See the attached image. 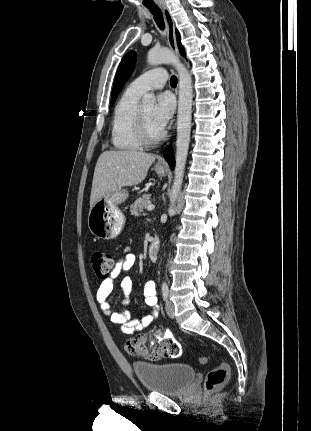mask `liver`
Wrapping results in <instances>:
<instances>
[{"instance_id":"liver-1","label":"liver","mask_w":311,"mask_h":431,"mask_svg":"<svg viewBox=\"0 0 311 431\" xmlns=\"http://www.w3.org/2000/svg\"><path fill=\"white\" fill-rule=\"evenodd\" d=\"M157 156L146 152H103L95 166L92 180L90 208L93 204L124 186H138L145 180Z\"/></svg>"}]
</instances>
